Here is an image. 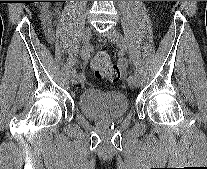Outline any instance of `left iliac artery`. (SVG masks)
<instances>
[{
	"mask_svg": "<svg viewBox=\"0 0 207 169\" xmlns=\"http://www.w3.org/2000/svg\"><path fill=\"white\" fill-rule=\"evenodd\" d=\"M119 64V72H124V74H132L130 77L137 76L136 73H134V69H130V65H128V60L126 59V56H121V59H118Z\"/></svg>",
	"mask_w": 207,
	"mask_h": 169,
	"instance_id": "1",
	"label": "left iliac artery"
}]
</instances>
